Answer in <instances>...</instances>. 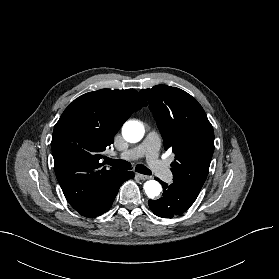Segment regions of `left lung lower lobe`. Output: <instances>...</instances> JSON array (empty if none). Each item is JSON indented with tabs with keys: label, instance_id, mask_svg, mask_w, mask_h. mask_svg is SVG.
Masks as SVG:
<instances>
[{
	"label": "left lung lower lobe",
	"instance_id": "obj_1",
	"mask_svg": "<svg viewBox=\"0 0 279 279\" xmlns=\"http://www.w3.org/2000/svg\"><path fill=\"white\" fill-rule=\"evenodd\" d=\"M160 183L163 187V196L158 200L148 201L152 212L159 217L172 218L183 214L199 195L197 192L182 189L173 183L170 186L162 181Z\"/></svg>",
	"mask_w": 279,
	"mask_h": 279
}]
</instances>
